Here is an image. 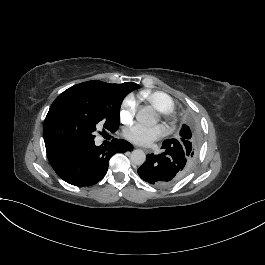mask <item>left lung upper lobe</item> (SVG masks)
<instances>
[{"label": "left lung upper lobe", "mask_w": 265, "mask_h": 265, "mask_svg": "<svg viewBox=\"0 0 265 265\" xmlns=\"http://www.w3.org/2000/svg\"><path fill=\"white\" fill-rule=\"evenodd\" d=\"M174 140L178 142L183 150L186 162L185 172H188L194 166L197 159L201 143L200 132L194 124L189 123L182 126L177 139H171V141Z\"/></svg>", "instance_id": "left-lung-upper-lobe-1"}]
</instances>
